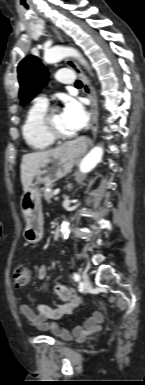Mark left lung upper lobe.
I'll use <instances>...</instances> for the list:
<instances>
[{
  "label": "left lung upper lobe",
  "mask_w": 145,
  "mask_h": 385,
  "mask_svg": "<svg viewBox=\"0 0 145 385\" xmlns=\"http://www.w3.org/2000/svg\"><path fill=\"white\" fill-rule=\"evenodd\" d=\"M47 70L40 60L32 55L25 57L18 65L21 104L28 103L47 83Z\"/></svg>",
  "instance_id": "5c2ea615"
}]
</instances>
